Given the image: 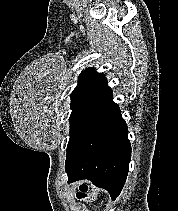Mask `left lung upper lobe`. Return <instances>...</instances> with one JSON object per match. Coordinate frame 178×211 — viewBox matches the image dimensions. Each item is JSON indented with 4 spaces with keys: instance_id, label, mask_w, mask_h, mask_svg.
I'll use <instances>...</instances> for the list:
<instances>
[{
    "instance_id": "left-lung-upper-lobe-1",
    "label": "left lung upper lobe",
    "mask_w": 178,
    "mask_h": 211,
    "mask_svg": "<svg viewBox=\"0 0 178 211\" xmlns=\"http://www.w3.org/2000/svg\"><path fill=\"white\" fill-rule=\"evenodd\" d=\"M71 98L70 138L66 159L104 113L112 98V91L104 74L88 68L81 73Z\"/></svg>"
}]
</instances>
